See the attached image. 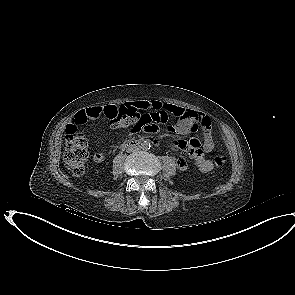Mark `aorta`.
<instances>
[{
  "mask_svg": "<svg viewBox=\"0 0 295 295\" xmlns=\"http://www.w3.org/2000/svg\"><path fill=\"white\" fill-rule=\"evenodd\" d=\"M150 147H151V144H150V141H149V140H144V141L141 142V144H140V148H141L142 150H145V151L149 150Z\"/></svg>",
  "mask_w": 295,
  "mask_h": 295,
  "instance_id": "762f6f07",
  "label": "aorta"
}]
</instances>
